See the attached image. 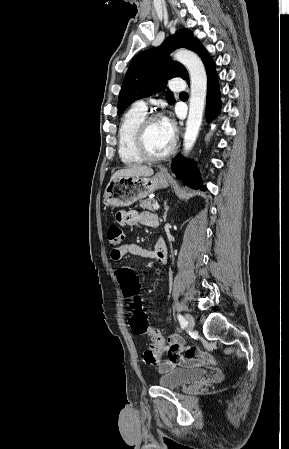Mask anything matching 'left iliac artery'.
I'll use <instances>...</instances> for the list:
<instances>
[{"label":"left iliac artery","mask_w":289,"mask_h":449,"mask_svg":"<svg viewBox=\"0 0 289 449\" xmlns=\"http://www.w3.org/2000/svg\"><path fill=\"white\" fill-rule=\"evenodd\" d=\"M177 318H178V320H179V323H180V325H181V328L184 329V328L186 327V325H187L186 320H185L184 317H183L182 315H180V314H178Z\"/></svg>","instance_id":"left-iliac-artery-1"}]
</instances>
